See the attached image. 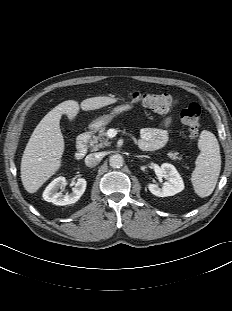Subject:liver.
<instances>
[{
    "label": "liver",
    "mask_w": 232,
    "mask_h": 311,
    "mask_svg": "<svg viewBox=\"0 0 232 311\" xmlns=\"http://www.w3.org/2000/svg\"><path fill=\"white\" fill-rule=\"evenodd\" d=\"M117 102L116 98L98 96L85 99L79 105L67 100L49 111L34 129L21 160V181L25 190L35 193L61 167L64 139L60 129L63 114L75 119L80 108L96 110Z\"/></svg>",
    "instance_id": "1"
}]
</instances>
